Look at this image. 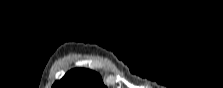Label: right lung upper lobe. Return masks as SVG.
Returning a JSON list of instances; mask_svg holds the SVG:
<instances>
[{
	"label": "right lung upper lobe",
	"mask_w": 223,
	"mask_h": 88,
	"mask_svg": "<svg viewBox=\"0 0 223 88\" xmlns=\"http://www.w3.org/2000/svg\"><path fill=\"white\" fill-rule=\"evenodd\" d=\"M53 88H106L100 75L94 71L76 68L54 83Z\"/></svg>",
	"instance_id": "cb5924a9"
}]
</instances>
